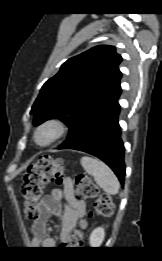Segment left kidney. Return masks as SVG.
<instances>
[{
    "mask_svg": "<svg viewBox=\"0 0 162 261\" xmlns=\"http://www.w3.org/2000/svg\"><path fill=\"white\" fill-rule=\"evenodd\" d=\"M105 237V230L102 227L95 228L89 238V244L91 247H99Z\"/></svg>",
    "mask_w": 162,
    "mask_h": 261,
    "instance_id": "1",
    "label": "left kidney"
}]
</instances>
